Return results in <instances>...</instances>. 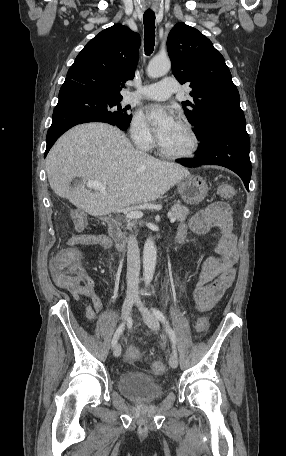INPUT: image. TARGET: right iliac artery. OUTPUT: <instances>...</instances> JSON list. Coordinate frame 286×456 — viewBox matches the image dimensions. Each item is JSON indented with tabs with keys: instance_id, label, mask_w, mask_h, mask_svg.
Instances as JSON below:
<instances>
[{
	"instance_id": "1",
	"label": "right iliac artery",
	"mask_w": 286,
	"mask_h": 456,
	"mask_svg": "<svg viewBox=\"0 0 286 456\" xmlns=\"http://www.w3.org/2000/svg\"><path fill=\"white\" fill-rule=\"evenodd\" d=\"M125 329V323H122L116 330L114 336H113V339H112V347H115V345L117 344V341L120 337V335L122 334V332L124 331Z\"/></svg>"
}]
</instances>
